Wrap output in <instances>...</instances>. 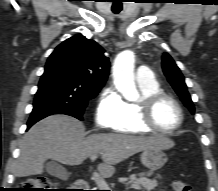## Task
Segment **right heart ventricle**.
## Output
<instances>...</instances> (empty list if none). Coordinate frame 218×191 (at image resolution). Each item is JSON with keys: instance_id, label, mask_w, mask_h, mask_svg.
<instances>
[{"instance_id": "1", "label": "right heart ventricle", "mask_w": 218, "mask_h": 191, "mask_svg": "<svg viewBox=\"0 0 218 191\" xmlns=\"http://www.w3.org/2000/svg\"><path fill=\"white\" fill-rule=\"evenodd\" d=\"M141 96L160 91L157 81L138 83ZM116 132L124 134H146L151 132L140 120L139 100L135 102L124 101L119 119L113 128Z\"/></svg>"}]
</instances>
